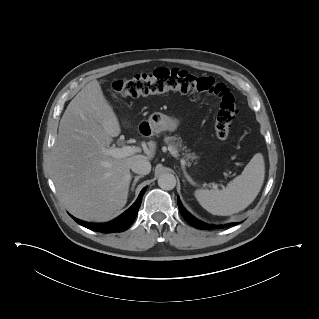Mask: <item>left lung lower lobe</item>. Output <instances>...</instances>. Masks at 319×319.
Masks as SVG:
<instances>
[{
  "mask_svg": "<svg viewBox=\"0 0 319 319\" xmlns=\"http://www.w3.org/2000/svg\"><path fill=\"white\" fill-rule=\"evenodd\" d=\"M178 202V206H179V210L182 214V216L184 217V219L191 224L192 226H194L195 228H199V229H218V228H225V227H229V226H233V225H237L238 223H229V224H225V225H208L206 223H203L199 220H197L196 218H194L193 216H191L182 206L180 200H177Z\"/></svg>",
  "mask_w": 319,
  "mask_h": 319,
  "instance_id": "left-lung-lower-lobe-1",
  "label": "left lung lower lobe"
}]
</instances>
